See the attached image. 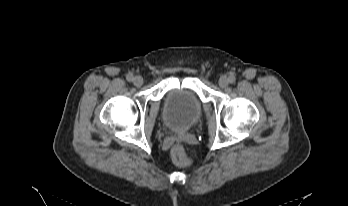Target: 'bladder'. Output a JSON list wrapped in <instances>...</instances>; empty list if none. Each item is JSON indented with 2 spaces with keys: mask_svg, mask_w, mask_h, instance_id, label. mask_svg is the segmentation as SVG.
I'll return each instance as SVG.
<instances>
[{
  "mask_svg": "<svg viewBox=\"0 0 348 206\" xmlns=\"http://www.w3.org/2000/svg\"><path fill=\"white\" fill-rule=\"evenodd\" d=\"M165 113L168 123L177 129H188L201 114L198 96L185 88L171 89L165 100Z\"/></svg>",
  "mask_w": 348,
  "mask_h": 206,
  "instance_id": "31cf9c89",
  "label": "bladder"
}]
</instances>
